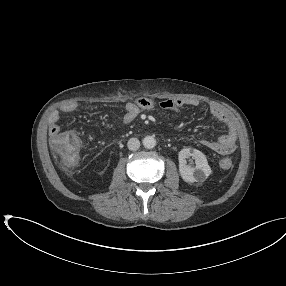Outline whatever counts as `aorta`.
I'll use <instances>...</instances> for the list:
<instances>
[{
	"label": "aorta",
	"mask_w": 286,
	"mask_h": 286,
	"mask_svg": "<svg viewBox=\"0 0 286 286\" xmlns=\"http://www.w3.org/2000/svg\"><path fill=\"white\" fill-rule=\"evenodd\" d=\"M143 146L147 149H152L156 146V140L153 136H146L142 140Z\"/></svg>",
	"instance_id": "aorta-1"
}]
</instances>
